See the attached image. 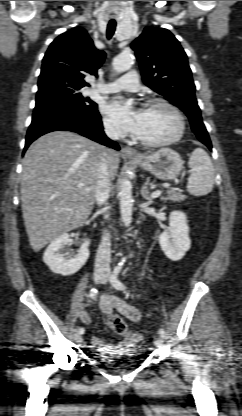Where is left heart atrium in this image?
Listing matches in <instances>:
<instances>
[{
  "instance_id": "1",
  "label": "left heart atrium",
  "mask_w": 242,
  "mask_h": 416,
  "mask_svg": "<svg viewBox=\"0 0 242 416\" xmlns=\"http://www.w3.org/2000/svg\"><path fill=\"white\" fill-rule=\"evenodd\" d=\"M103 110L111 118H113L124 130L135 132L142 110H132L124 102L113 100L107 103Z\"/></svg>"
}]
</instances>
